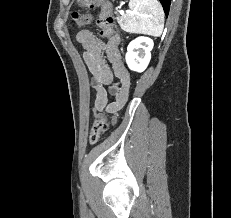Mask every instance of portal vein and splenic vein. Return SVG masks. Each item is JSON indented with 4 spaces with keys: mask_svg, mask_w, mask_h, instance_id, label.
Returning a JSON list of instances; mask_svg holds the SVG:
<instances>
[{
    "mask_svg": "<svg viewBox=\"0 0 231 218\" xmlns=\"http://www.w3.org/2000/svg\"><path fill=\"white\" fill-rule=\"evenodd\" d=\"M120 14H122V15H123V14H124V11H123V10H120Z\"/></svg>",
    "mask_w": 231,
    "mask_h": 218,
    "instance_id": "portal-vein-and-splenic-vein-1",
    "label": "portal vein and splenic vein"
}]
</instances>
